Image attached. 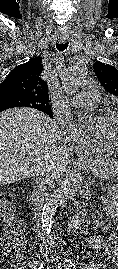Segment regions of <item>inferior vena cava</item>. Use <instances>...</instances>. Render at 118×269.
I'll use <instances>...</instances> for the list:
<instances>
[{"instance_id":"1","label":"inferior vena cava","mask_w":118,"mask_h":269,"mask_svg":"<svg viewBox=\"0 0 118 269\" xmlns=\"http://www.w3.org/2000/svg\"><path fill=\"white\" fill-rule=\"evenodd\" d=\"M57 175L56 166L52 161L41 163L36 173V193L34 198V206L40 211L44 204V194L47 186L51 185ZM36 224L39 227L41 222V213L35 214ZM43 246V244H42Z\"/></svg>"}]
</instances>
